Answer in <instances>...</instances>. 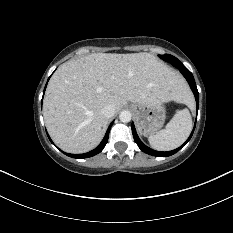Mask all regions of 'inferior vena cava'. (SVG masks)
<instances>
[{"mask_svg": "<svg viewBox=\"0 0 233 233\" xmlns=\"http://www.w3.org/2000/svg\"><path fill=\"white\" fill-rule=\"evenodd\" d=\"M101 114L106 118H111L115 114V107L112 104H107L101 109Z\"/></svg>", "mask_w": 233, "mask_h": 233, "instance_id": "obj_1", "label": "inferior vena cava"}]
</instances>
